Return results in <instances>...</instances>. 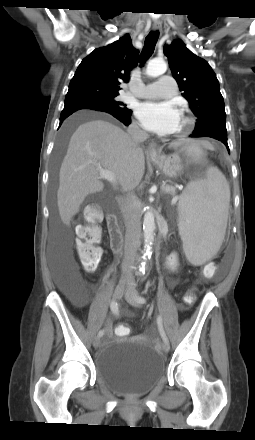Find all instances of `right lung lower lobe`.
Here are the masks:
<instances>
[{
  "mask_svg": "<svg viewBox=\"0 0 255 440\" xmlns=\"http://www.w3.org/2000/svg\"><path fill=\"white\" fill-rule=\"evenodd\" d=\"M78 110H96V111H102L109 113L113 115L115 118H117L119 121H121L124 125H129L130 115L132 113L131 110L129 111H119L111 107H107L102 104H96V103H89V102H74V103H68L65 104L64 109L61 112L60 116V125L62 122L72 113L78 111Z\"/></svg>",
  "mask_w": 255,
  "mask_h": 440,
  "instance_id": "98d812e1",
  "label": "right lung lower lobe"
}]
</instances>
